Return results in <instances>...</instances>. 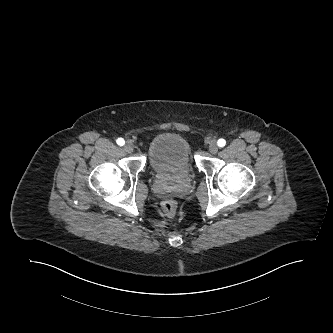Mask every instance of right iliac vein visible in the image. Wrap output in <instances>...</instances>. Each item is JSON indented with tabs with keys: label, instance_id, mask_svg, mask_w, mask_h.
Segmentation results:
<instances>
[{
	"label": "right iliac vein",
	"instance_id": "63e3f726",
	"mask_svg": "<svg viewBox=\"0 0 333 333\" xmlns=\"http://www.w3.org/2000/svg\"><path fill=\"white\" fill-rule=\"evenodd\" d=\"M124 150H125L127 153H131V152H133V150H134V145H133V143L130 142V141H127V142L125 143V145H124Z\"/></svg>",
	"mask_w": 333,
	"mask_h": 333
}]
</instances>
